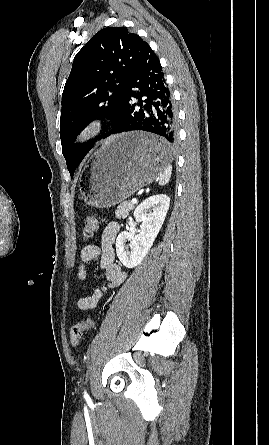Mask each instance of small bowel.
<instances>
[{"instance_id": "small-bowel-1", "label": "small bowel", "mask_w": 269, "mask_h": 445, "mask_svg": "<svg viewBox=\"0 0 269 445\" xmlns=\"http://www.w3.org/2000/svg\"><path fill=\"white\" fill-rule=\"evenodd\" d=\"M119 234V224L116 222L108 223L101 235L100 245H86L80 253V264L78 267V279L84 280L87 276L86 263L98 260L99 266L104 273L107 284L94 289L91 295L81 297L77 301L80 310L94 311L99 303L108 295L111 289L120 286L126 274L122 268L115 262L114 244Z\"/></svg>"}]
</instances>
